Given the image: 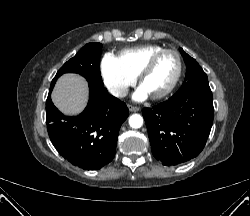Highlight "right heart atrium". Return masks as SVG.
Returning a JSON list of instances; mask_svg holds the SVG:
<instances>
[{"label": "right heart atrium", "mask_w": 250, "mask_h": 216, "mask_svg": "<svg viewBox=\"0 0 250 216\" xmlns=\"http://www.w3.org/2000/svg\"><path fill=\"white\" fill-rule=\"evenodd\" d=\"M101 76L108 91L115 97H124L136 82V77L127 72L117 57L106 54L101 60Z\"/></svg>", "instance_id": "right-heart-atrium-1"}]
</instances>
